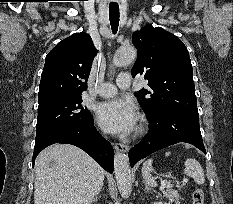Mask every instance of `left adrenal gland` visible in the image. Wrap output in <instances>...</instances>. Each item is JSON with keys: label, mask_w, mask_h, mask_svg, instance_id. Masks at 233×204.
<instances>
[{"label": "left adrenal gland", "mask_w": 233, "mask_h": 204, "mask_svg": "<svg viewBox=\"0 0 233 204\" xmlns=\"http://www.w3.org/2000/svg\"><path fill=\"white\" fill-rule=\"evenodd\" d=\"M144 184H145V189H146V190H150V188H149L148 185L145 183V181H144Z\"/></svg>", "instance_id": "1"}]
</instances>
